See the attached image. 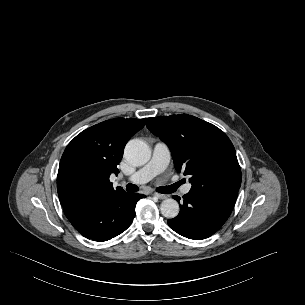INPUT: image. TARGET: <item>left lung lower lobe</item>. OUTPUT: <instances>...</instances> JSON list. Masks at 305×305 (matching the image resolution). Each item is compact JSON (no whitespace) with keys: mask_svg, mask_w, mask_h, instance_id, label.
<instances>
[{"mask_svg":"<svg viewBox=\"0 0 305 305\" xmlns=\"http://www.w3.org/2000/svg\"><path fill=\"white\" fill-rule=\"evenodd\" d=\"M239 188L191 189L183 196L181 210L167 221L169 227L189 239H205L217 232L234 207ZM180 201V197L173 196Z\"/></svg>","mask_w":305,"mask_h":305,"instance_id":"obj_1","label":"left lung lower lobe"}]
</instances>
